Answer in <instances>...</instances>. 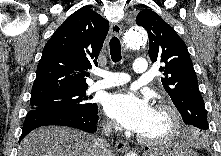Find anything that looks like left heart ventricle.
I'll list each match as a JSON object with an SVG mask.
<instances>
[{
    "label": "left heart ventricle",
    "instance_id": "b2bd125f",
    "mask_svg": "<svg viewBox=\"0 0 221 156\" xmlns=\"http://www.w3.org/2000/svg\"><path fill=\"white\" fill-rule=\"evenodd\" d=\"M169 126L167 115L157 109L154 110L153 118L141 135L155 137L165 133Z\"/></svg>",
    "mask_w": 221,
    "mask_h": 156
}]
</instances>
